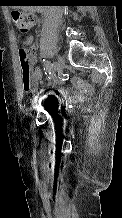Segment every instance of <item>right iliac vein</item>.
<instances>
[{"label": "right iliac vein", "mask_w": 122, "mask_h": 218, "mask_svg": "<svg viewBox=\"0 0 122 218\" xmlns=\"http://www.w3.org/2000/svg\"><path fill=\"white\" fill-rule=\"evenodd\" d=\"M54 64V70L55 72L59 75L62 73L63 70V60L60 56H57L56 61L53 63ZM58 82V77H55L53 81L50 83L51 85H55ZM39 94L37 95L36 98H38Z\"/></svg>", "instance_id": "1"}]
</instances>
